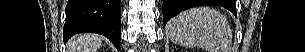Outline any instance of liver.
Here are the masks:
<instances>
[{"mask_svg": "<svg viewBox=\"0 0 305 52\" xmlns=\"http://www.w3.org/2000/svg\"><path fill=\"white\" fill-rule=\"evenodd\" d=\"M102 45V38L96 34L75 36L69 45L70 52H97Z\"/></svg>", "mask_w": 305, "mask_h": 52, "instance_id": "6515ba94", "label": "liver"}]
</instances>
